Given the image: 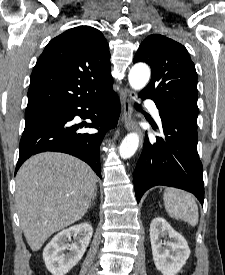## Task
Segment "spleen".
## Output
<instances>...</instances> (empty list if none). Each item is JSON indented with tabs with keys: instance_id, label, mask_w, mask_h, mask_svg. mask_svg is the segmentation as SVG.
I'll return each instance as SVG.
<instances>
[{
	"instance_id": "3e777b00",
	"label": "spleen",
	"mask_w": 225,
	"mask_h": 275,
	"mask_svg": "<svg viewBox=\"0 0 225 275\" xmlns=\"http://www.w3.org/2000/svg\"><path fill=\"white\" fill-rule=\"evenodd\" d=\"M163 200L165 209L170 217L183 220L191 226L198 224V206L189 193L176 188H166Z\"/></svg>"
}]
</instances>
